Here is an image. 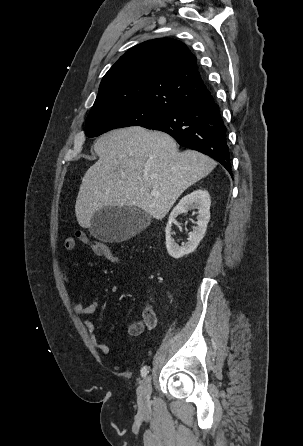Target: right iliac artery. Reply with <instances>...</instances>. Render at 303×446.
<instances>
[{"instance_id":"82829eb1","label":"right iliac artery","mask_w":303,"mask_h":446,"mask_svg":"<svg viewBox=\"0 0 303 446\" xmlns=\"http://www.w3.org/2000/svg\"><path fill=\"white\" fill-rule=\"evenodd\" d=\"M147 373H148V367H147V366H144V367L141 369V376H142V377H145V376L147 375Z\"/></svg>"}]
</instances>
